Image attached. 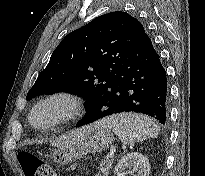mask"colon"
Returning a JSON list of instances; mask_svg holds the SVG:
<instances>
[{
	"label": "colon",
	"mask_w": 205,
	"mask_h": 176,
	"mask_svg": "<svg viewBox=\"0 0 205 176\" xmlns=\"http://www.w3.org/2000/svg\"><path fill=\"white\" fill-rule=\"evenodd\" d=\"M17 162L23 176H53L51 168L32 152L20 151Z\"/></svg>",
	"instance_id": "1"
}]
</instances>
